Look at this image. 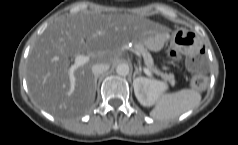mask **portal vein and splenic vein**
Listing matches in <instances>:
<instances>
[{
  "mask_svg": "<svg viewBox=\"0 0 238 145\" xmlns=\"http://www.w3.org/2000/svg\"><path fill=\"white\" fill-rule=\"evenodd\" d=\"M90 58L89 56L85 55H77L74 60V64L70 67L69 69V77H70V92L72 93L75 89V76H74V71L89 62ZM144 73L148 76H151V71L148 68H144Z\"/></svg>",
  "mask_w": 238,
  "mask_h": 145,
  "instance_id": "obj_1",
  "label": "portal vein and splenic vein"
}]
</instances>
